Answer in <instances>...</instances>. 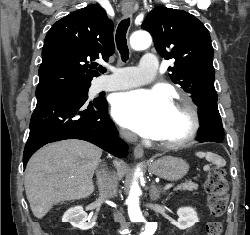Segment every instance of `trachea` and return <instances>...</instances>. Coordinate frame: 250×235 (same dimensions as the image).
<instances>
[{"label":"trachea","mask_w":250,"mask_h":235,"mask_svg":"<svg viewBox=\"0 0 250 235\" xmlns=\"http://www.w3.org/2000/svg\"><path fill=\"white\" fill-rule=\"evenodd\" d=\"M130 25V19H124L122 20L116 30V45H117V49L121 54V58L122 61L125 62L128 59L129 56V49H128V45H127V39H126V33L128 30V27ZM98 71L101 73H105L106 72V68L105 67H99Z\"/></svg>","instance_id":"3493384b"}]
</instances>
